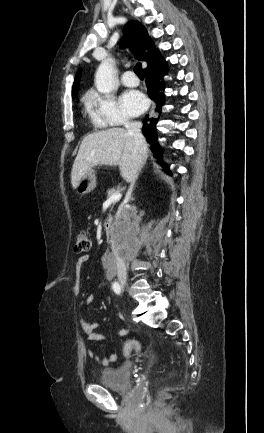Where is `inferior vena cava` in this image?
Instances as JSON below:
<instances>
[{"label":"inferior vena cava","instance_id":"1","mask_svg":"<svg viewBox=\"0 0 264 433\" xmlns=\"http://www.w3.org/2000/svg\"><path fill=\"white\" fill-rule=\"evenodd\" d=\"M124 126L126 127L128 134H130L135 140L136 149H137L138 154H139V164L141 165V164H143L144 158L146 156V149H147V144H146L145 138L141 132L142 123L138 122V121L130 122V121L126 120V121H124ZM136 178H137V176H134L129 181L130 187L128 189L126 199H129L131 196ZM122 207H124V204ZM123 256H124L123 252H118V255L116 258L117 259V261H116L117 274H118V277L120 279H126V275H127L126 266H125L124 261L122 260Z\"/></svg>","mask_w":264,"mask_h":433}]
</instances>
